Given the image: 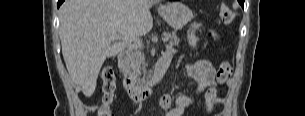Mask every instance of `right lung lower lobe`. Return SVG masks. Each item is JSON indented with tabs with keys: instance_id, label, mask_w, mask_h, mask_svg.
Listing matches in <instances>:
<instances>
[{
	"instance_id": "98d812e1",
	"label": "right lung lower lobe",
	"mask_w": 305,
	"mask_h": 116,
	"mask_svg": "<svg viewBox=\"0 0 305 116\" xmlns=\"http://www.w3.org/2000/svg\"><path fill=\"white\" fill-rule=\"evenodd\" d=\"M64 0H59L58 1V7L63 3Z\"/></svg>"
}]
</instances>
